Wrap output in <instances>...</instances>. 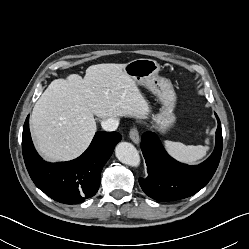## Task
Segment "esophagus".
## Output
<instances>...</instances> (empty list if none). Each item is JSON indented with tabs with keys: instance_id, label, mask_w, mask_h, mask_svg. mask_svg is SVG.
Returning a JSON list of instances; mask_svg holds the SVG:
<instances>
[{
	"instance_id": "obj_1",
	"label": "esophagus",
	"mask_w": 249,
	"mask_h": 249,
	"mask_svg": "<svg viewBox=\"0 0 249 249\" xmlns=\"http://www.w3.org/2000/svg\"><path fill=\"white\" fill-rule=\"evenodd\" d=\"M129 136H130V139H131L135 144H139V142H140V135H139V132H138V130H137L136 127H133V128L130 130Z\"/></svg>"
}]
</instances>
